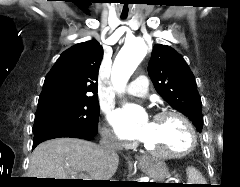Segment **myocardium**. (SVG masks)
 <instances>
[{
    "mask_svg": "<svg viewBox=\"0 0 240 187\" xmlns=\"http://www.w3.org/2000/svg\"><path fill=\"white\" fill-rule=\"evenodd\" d=\"M167 116H174L176 117L184 126L187 136H188V144L187 146L179 151H170V152H160V151H154L150 149L146 143L144 144V150L153 156H156L161 159H172V158H181L184 156L189 155L191 152H193L197 145V135L195 128L191 121L188 119V117L183 114L182 112L174 109H165L160 112H158L154 116V120H159Z\"/></svg>",
    "mask_w": 240,
    "mask_h": 187,
    "instance_id": "f54148a6",
    "label": "myocardium"
}]
</instances>
